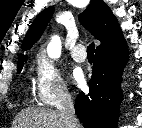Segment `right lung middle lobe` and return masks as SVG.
I'll return each mask as SVG.
<instances>
[{"instance_id": "1", "label": "right lung middle lobe", "mask_w": 142, "mask_h": 128, "mask_svg": "<svg viewBox=\"0 0 142 128\" xmlns=\"http://www.w3.org/2000/svg\"><path fill=\"white\" fill-rule=\"evenodd\" d=\"M25 61L26 60L18 62V73L22 70V67H23Z\"/></svg>"}]
</instances>
